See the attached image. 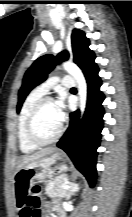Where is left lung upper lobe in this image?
I'll list each match as a JSON object with an SVG mask.
<instances>
[{
    "label": "left lung upper lobe",
    "instance_id": "1",
    "mask_svg": "<svg viewBox=\"0 0 132 217\" xmlns=\"http://www.w3.org/2000/svg\"><path fill=\"white\" fill-rule=\"evenodd\" d=\"M88 46L89 40L85 34L81 30L74 29L72 32L74 62L82 69L85 76L97 67L94 62L95 55ZM68 57V52L63 51L56 58L48 54L35 60L24 75L22 87L18 93L17 112L20 111L23 101L29 92L47 78V74L53 70L56 63L65 61Z\"/></svg>",
    "mask_w": 132,
    "mask_h": 217
}]
</instances>
